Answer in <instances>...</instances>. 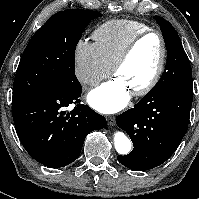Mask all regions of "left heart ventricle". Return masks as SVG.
Here are the masks:
<instances>
[{
  "label": "left heart ventricle",
  "instance_id": "obj_1",
  "mask_svg": "<svg viewBox=\"0 0 199 199\" xmlns=\"http://www.w3.org/2000/svg\"><path fill=\"white\" fill-rule=\"evenodd\" d=\"M161 54L157 36L149 35L136 46L116 76L124 81L130 92L145 85L153 76Z\"/></svg>",
  "mask_w": 199,
  "mask_h": 199
}]
</instances>
